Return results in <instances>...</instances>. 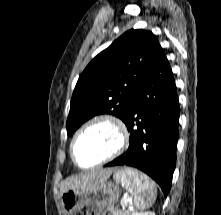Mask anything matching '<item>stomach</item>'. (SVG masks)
<instances>
[{
  "label": "stomach",
  "instance_id": "1",
  "mask_svg": "<svg viewBox=\"0 0 221 215\" xmlns=\"http://www.w3.org/2000/svg\"><path fill=\"white\" fill-rule=\"evenodd\" d=\"M121 186L119 181L105 180L85 189H67L61 194L62 208L67 215H76L85 206L113 209L119 200Z\"/></svg>",
  "mask_w": 221,
  "mask_h": 215
}]
</instances>
